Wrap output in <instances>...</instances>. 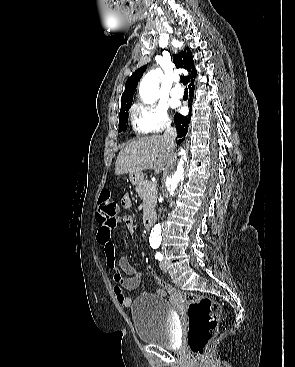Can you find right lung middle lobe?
<instances>
[{"instance_id":"dd1d6c3e","label":"right lung middle lobe","mask_w":295,"mask_h":367,"mask_svg":"<svg viewBox=\"0 0 295 367\" xmlns=\"http://www.w3.org/2000/svg\"><path fill=\"white\" fill-rule=\"evenodd\" d=\"M132 102L121 105L119 113V132H125L128 124V110L131 107Z\"/></svg>"}]
</instances>
